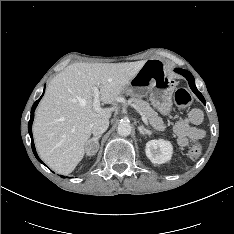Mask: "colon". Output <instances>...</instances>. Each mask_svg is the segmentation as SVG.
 Segmentation results:
<instances>
[{"label":"colon","mask_w":234,"mask_h":234,"mask_svg":"<svg viewBox=\"0 0 234 234\" xmlns=\"http://www.w3.org/2000/svg\"><path fill=\"white\" fill-rule=\"evenodd\" d=\"M175 102L177 106L181 109L188 108L192 103V96L191 94L184 88H180L175 92L174 96ZM202 152V145L201 143L193 144L188 151L190 157H198Z\"/></svg>","instance_id":"colon-1"}]
</instances>
